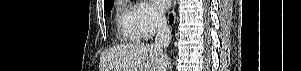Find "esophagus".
<instances>
[{
  "label": "esophagus",
  "mask_w": 301,
  "mask_h": 71,
  "mask_svg": "<svg viewBox=\"0 0 301 71\" xmlns=\"http://www.w3.org/2000/svg\"><path fill=\"white\" fill-rule=\"evenodd\" d=\"M175 6H176V0H174L173 11H174V9H175Z\"/></svg>",
  "instance_id": "esophagus-1"
}]
</instances>
